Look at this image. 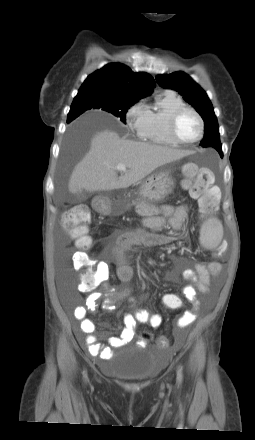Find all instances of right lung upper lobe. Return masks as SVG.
Returning <instances> with one entry per match:
<instances>
[{"instance_id":"right-lung-upper-lobe-1","label":"right lung upper lobe","mask_w":255,"mask_h":440,"mask_svg":"<svg viewBox=\"0 0 255 440\" xmlns=\"http://www.w3.org/2000/svg\"><path fill=\"white\" fill-rule=\"evenodd\" d=\"M155 87L154 79L147 73H134L128 66L111 63L89 75L78 94L92 93L107 98L137 102L149 96ZM74 118H68L67 122Z\"/></svg>"}]
</instances>
